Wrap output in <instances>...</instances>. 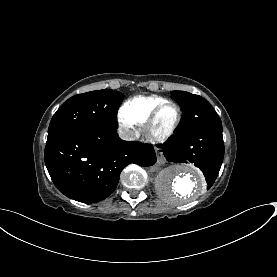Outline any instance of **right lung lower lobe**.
Segmentation results:
<instances>
[{
  "mask_svg": "<svg viewBox=\"0 0 277 277\" xmlns=\"http://www.w3.org/2000/svg\"><path fill=\"white\" fill-rule=\"evenodd\" d=\"M117 127L78 129L47 139L45 164L55 186L67 197L94 203L113 193L128 164L151 166V145L123 141Z\"/></svg>",
  "mask_w": 277,
  "mask_h": 277,
  "instance_id": "1",
  "label": "right lung lower lobe"
}]
</instances>
